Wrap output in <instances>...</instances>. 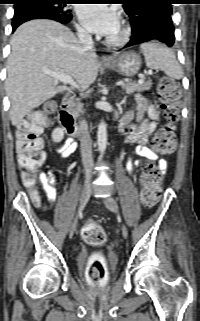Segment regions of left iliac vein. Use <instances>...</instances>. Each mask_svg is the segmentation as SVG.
Wrapping results in <instances>:
<instances>
[{
    "mask_svg": "<svg viewBox=\"0 0 200 321\" xmlns=\"http://www.w3.org/2000/svg\"><path fill=\"white\" fill-rule=\"evenodd\" d=\"M103 202L105 206L112 212L118 213V204L117 202L110 196L103 198ZM122 235L124 238H127L128 236V230L126 226L122 227Z\"/></svg>",
    "mask_w": 200,
    "mask_h": 321,
    "instance_id": "left-iliac-vein-1",
    "label": "left iliac vein"
}]
</instances>
